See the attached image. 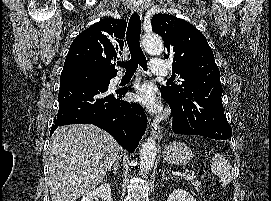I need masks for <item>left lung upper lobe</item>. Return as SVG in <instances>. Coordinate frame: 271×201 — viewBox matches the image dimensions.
<instances>
[{"label":"left lung upper lobe","instance_id":"1","mask_svg":"<svg viewBox=\"0 0 271 201\" xmlns=\"http://www.w3.org/2000/svg\"><path fill=\"white\" fill-rule=\"evenodd\" d=\"M152 31L165 43V58L173 59L179 85L162 86L177 119L205 137L225 140L232 129L224 114L220 72L205 36L185 20L169 14L152 17Z\"/></svg>","mask_w":271,"mask_h":201}]
</instances>
